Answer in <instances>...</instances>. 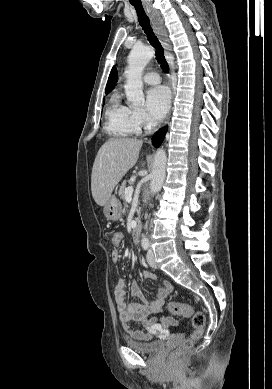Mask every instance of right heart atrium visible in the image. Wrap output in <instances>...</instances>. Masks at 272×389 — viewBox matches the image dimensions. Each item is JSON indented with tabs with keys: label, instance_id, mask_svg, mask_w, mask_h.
Wrapping results in <instances>:
<instances>
[{
	"label": "right heart atrium",
	"instance_id": "1",
	"mask_svg": "<svg viewBox=\"0 0 272 389\" xmlns=\"http://www.w3.org/2000/svg\"><path fill=\"white\" fill-rule=\"evenodd\" d=\"M133 119L138 128L141 127H149L151 125L148 117L144 113V111L139 110V109H134L133 110Z\"/></svg>",
	"mask_w": 272,
	"mask_h": 389
}]
</instances>
